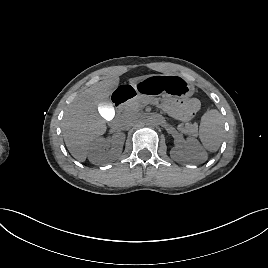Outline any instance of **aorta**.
Instances as JSON below:
<instances>
[{"label":"aorta","mask_w":268,"mask_h":268,"mask_svg":"<svg viewBox=\"0 0 268 268\" xmlns=\"http://www.w3.org/2000/svg\"><path fill=\"white\" fill-rule=\"evenodd\" d=\"M146 125L149 127L157 126L158 125V118L155 115L148 116V118L146 119Z\"/></svg>","instance_id":"762f6f07"}]
</instances>
